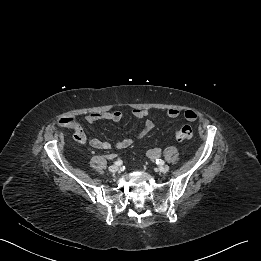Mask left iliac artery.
Instances as JSON below:
<instances>
[{
	"instance_id": "obj_1",
	"label": "left iliac artery",
	"mask_w": 261,
	"mask_h": 261,
	"mask_svg": "<svg viewBox=\"0 0 261 261\" xmlns=\"http://www.w3.org/2000/svg\"><path fill=\"white\" fill-rule=\"evenodd\" d=\"M156 164L162 166V165H164V161L161 159H156Z\"/></svg>"
}]
</instances>
